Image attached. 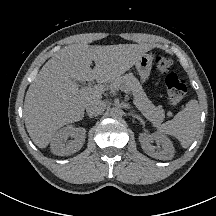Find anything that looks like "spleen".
Instances as JSON below:
<instances>
[{
  "label": "spleen",
  "mask_w": 216,
  "mask_h": 216,
  "mask_svg": "<svg viewBox=\"0 0 216 216\" xmlns=\"http://www.w3.org/2000/svg\"><path fill=\"white\" fill-rule=\"evenodd\" d=\"M199 124V104L197 100L192 99L186 104L183 111L160 126V132L177 138L183 148H188L196 136Z\"/></svg>",
  "instance_id": "spleen-1"
}]
</instances>
